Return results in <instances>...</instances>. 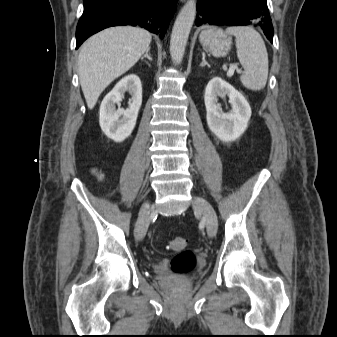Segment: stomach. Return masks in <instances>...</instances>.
I'll use <instances>...</instances> for the list:
<instances>
[{
	"label": "stomach",
	"instance_id": "0dacf381",
	"mask_svg": "<svg viewBox=\"0 0 337 337\" xmlns=\"http://www.w3.org/2000/svg\"><path fill=\"white\" fill-rule=\"evenodd\" d=\"M202 47L215 57H225L231 49L232 39L221 29L210 27L199 35Z\"/></svg>",
	"mask_w": 337,
	"mask_h": 337
}]
</instances>
